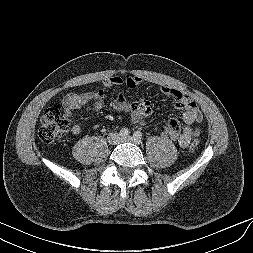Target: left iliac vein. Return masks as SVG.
Instances as JSON below:
<instances>
[{"label":"left iliac vein","instance_id":"1","mask_svg":"<svg viewBox=\"0 0 253 253\" xmlns=\"http://www.w3.org/2000/svg\"><path fill=\"white\" fill-rule=\"evenodd\" d=\"M122 142H132L134 144H139V140H137L136 138H134L133 136H127V137H122L121 138Z\"/></svg>","mask_w":253,"mask_h":253}]
</instances>
